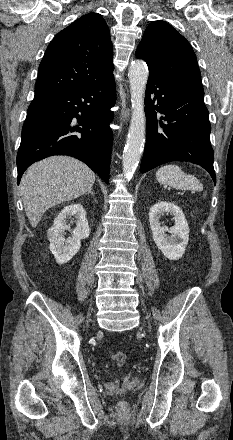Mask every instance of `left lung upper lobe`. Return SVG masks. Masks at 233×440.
I'll return each instance as SVG.
<instances>
[{
	"label": "left lung upper lobe",
	"mask_w": 233,
	"mask_h": 440,
	"mask_svg": "<svg viewBox=\"0 0 233 440\" xmlns=\"http://www.w3.org/2000/svg\"><path fill=\"white\" fill-rule=\"evenodd\" d=\"M136 57L147 63L149 77L204 91L191 45L168 23L153 21L147 27L136 50Z\"/></svg>",
	"instance_id": "1"
}]
</instances>
